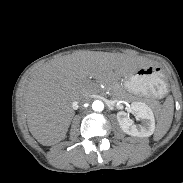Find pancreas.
<instances>
[{"mask_svg": "<svg viewBox=\"0 0 183 183\" xmlns=\"http://www.w3.org/2000/svg\"><path fill=\"white\" fill-rule=\"evenodd\" d=\"M119 94H120V95H124V96H128V94H127L126 91H124V90H121V91L119 92Z\"/></svg>", "mask_w": 183, "mask_h": 183, "instance_id": "pancreas-1", "label": "pancreas"}]
</instances>
